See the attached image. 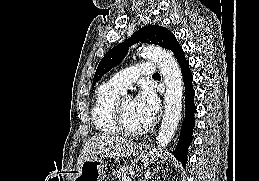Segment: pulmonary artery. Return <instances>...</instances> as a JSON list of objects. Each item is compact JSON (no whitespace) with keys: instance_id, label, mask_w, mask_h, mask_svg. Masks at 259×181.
<instances>
[{"instance_id":"1","label":"pulmonary artery","mask_w":259,"mask_h":181,"mask_svg":"<svg viewBox=\"0 0 259 181\" xmlns=\"http://www.w3.org/2000/svg\"><path fill=\"white\" fill-rule=\"evenodd\" d=\"M156 67L151 62H141L130 68H126L117 74L113 75L110 82L122 90H126L133 84L138 76L151 77L155 74Z\"/></svg>"}]
</instances>
